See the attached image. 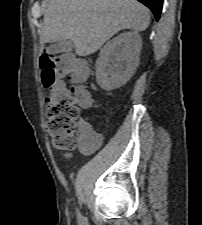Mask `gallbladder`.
<instances>
[{
  "mask_svg": "<svg viewBox=\"0 0 202 225\" xmlns=\"http://www.w3.org/2000/svg\"><path fill=\"white\" fill-rule=\"evenodd\" d=\"M74 48V43L71 40H61L49 47V53H70Z\"/></svg>",
  "mask_w": 202,
  "mask_h": 225,
  "instance_id": "bac80fb5",
  "label": "gallbladder"
}]
</instances>
